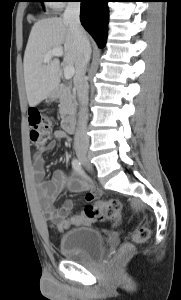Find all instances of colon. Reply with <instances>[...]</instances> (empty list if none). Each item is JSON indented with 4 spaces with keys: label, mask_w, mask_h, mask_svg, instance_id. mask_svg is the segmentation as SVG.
Segmentation results:
<instances>
[{
    "label": "colon",
    "mask_w": 181,
    "mask_h": 300,
    "mask_svg": "<svg viewBox=\"0 0 181 300\" xmlns=\"http://www.w3.org/2000/svg\"><path fill=\"white\" fill-rule=\"evenodd\" d=\"M30 125V141L36 147H43L49 137L51 130V120L41 111L32 110L29 112ZM121 202L117 199L99 201L95 204H88L84 209V214L87 218L93 221L116 220L120 216ZM150 237V229L146 226L138 227L132 234V241L142 243ZM133 244L131 242L124 243L116 258L123 260L131 251Z\"/></svg>",
    "instance_id": "obj_1"
}]
</instances>
